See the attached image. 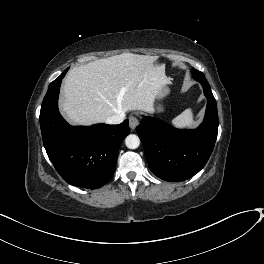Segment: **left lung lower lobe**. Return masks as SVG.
<instances>
[{"mask_svg":"<svg viewBox=\"0 0 264 264\" xmlns=\"http://www.w3.org/2000/svg\"><path fill=\"white\" fill-rule=\"evenodd\" d=\"M193 78L201 83L207 98L206 114L200 127L179 130L146 116L136 128L150 170L165 181L179 182L198 173L216 142L219 124L216 100L204 76Z\"/></svg>","mask_w":264,"mask_h":264,"instance_id":"left-lung-lower-lobe-1","label":"left lung lower lobe"}]
</instances>
